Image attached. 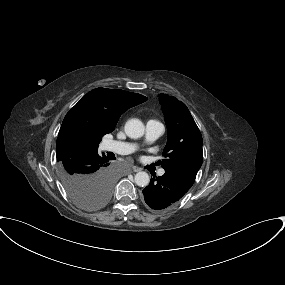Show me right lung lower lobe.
<instances>
[{
    "label": "right lung lower lobe",
    "instance_id": "98d812e1",
    "mask_svg": "<svg viewBox=\"0 0 285 285\" xmlns=\"http://www.w3.org/2000/svg\"><path fill=\"white\" fill-rule=\"evenodd\" d=\"M82 175L113 174L109 166V159L104 154L99 155L98 150H90L69 159Z\"/></svg>",
    "mask_w": 285,
    "mask_h": 285
}]
</instances>
